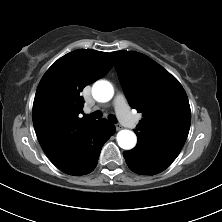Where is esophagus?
Instances as JSON below:
<instances>
[{"instance_id": "esophagus-1", "label": "esophagus", "mask_w": 222, "mask_h": 222, "mask_svg": "<svg viewBox=\"0 0 222 222\" xmlns=\"http://www.w3.org/2000/svg\"><path fill=\"white\" fill-rule=\"evenodd\" d=\"M115 128L117 131H119L122 129V126L120 124H115Z\"/></svg>"}]
</instances>
